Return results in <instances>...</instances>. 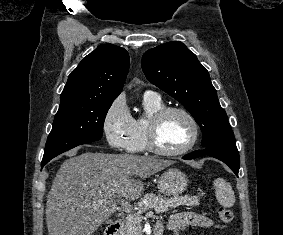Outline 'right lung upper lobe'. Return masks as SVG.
Returning a JSON list of instances; mask_svg holds the SVG:
<instances>
[{
  "instance_id": "cb5924a9",
  "label": "right lung upper lobe",
  "mask_w": 283,
  "mask_h": 235,
  "mask_svg": "<svg viewBox=\"0 0 283 235\" xmlns=\"http://www.w3.org/2000/svg\"><path fill=\"white\" fill-rule=\"evenodd\" d=\"M128 69L129 54L124 48L102 44L69 75L60 102L114 100L122 91Z\"/></svg>"
}]
</instances>
